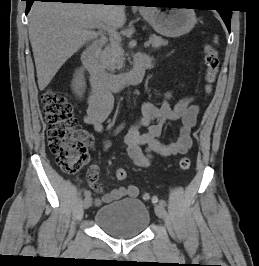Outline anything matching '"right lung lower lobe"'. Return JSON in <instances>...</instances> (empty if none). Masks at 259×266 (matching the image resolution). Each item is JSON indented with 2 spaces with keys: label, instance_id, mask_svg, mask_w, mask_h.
<instances>
[{
  "label": "right lung lower lobe",
  "instance_id": "1",
  "mask_svg": "<svg viewBox=\"0 0 259 266\" xmlns=\"http://www.w3.org/2000/svg\"><path fill=\"white\" fill-rule=\"evenodd\" d=\"M27 2L26 5V15L30 11L31 5L34 1H42V2H62V3H84V4H107L110 1H124V0H24ZM126 5V4H125Z\"/></svg>",
  "mask_w": 259,
  "mask_h": 266
}]
</instances>
